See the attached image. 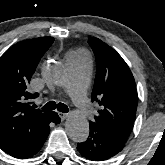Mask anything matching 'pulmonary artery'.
<instances>
[{
	"label": "pulmonary artery",
	"instance_id": "obj_1",
	"mask_svg": "<svg viewBox=\"0 0 165 165\" xmlns=\"http://www.w3.org/2000/svg\"><path fill=\"white\" fill-rule=\"evenodd\" d=\"M66 66L69 72L67 86L70 96L82 114L91 118L93 112L85 95L90 71L89 60L80 53L69 54L66 57Z\"/></svg>",
	"mask_w": 165,
	"mask_h": 165
}]
</instances>
